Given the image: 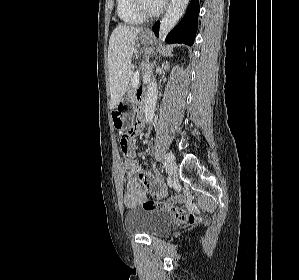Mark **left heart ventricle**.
Wrapping results in <instances>:
<instances>
[{
    "instance_id": "b2bd125f",
    "label": "left heart ventricle",
    "mask_w": 299,
    "mask_h": 280,
    "mask_svg": "<svg viewBox=\"0 0 299 280\" xmlns=\"http://www.w3.org/2000/svg\"><path fill=\"white\" fill-rule=\"evenodd\" d=\"M143 1H144L145 7L150 11H154V10L158 9L159 6L161 5L159 0H143Z\"/></svg>"
}]
</instances>
